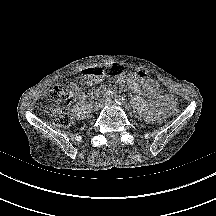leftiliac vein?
Wrapping results in <instances>:
<instances>
[{
    "label": "left iliac vein",
    "mask_w": 216,
    "mask_h": 216,
    "mask_svg": "<svg viewBox=\"0 0 216 216\" xmlns=\"http://www.w3.org/2000/svg\"><path fill=\"white\" fill-rule=\"evenodd\" d=\"M104 104L110 106V105H113L114 102H113V101H110V100H107V101H105Z\"/></svg>",
    "instance_id": "left-iliac-vein-1"
}]
</instances>
